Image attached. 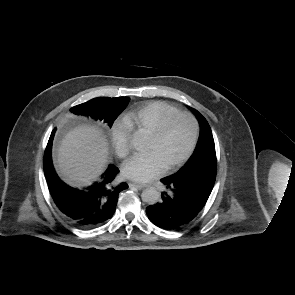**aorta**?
<instances>
[{
	"instance_id": "762f6f07",
	"label": "aorta",
	"mask_w": 295,
	"mask_h": 295,
	"mask_svg": "<svg viewBox=\"0 0 295 295\" xmlns=\"http://www.w3.org/2000/svg\"><path fill=\"white\" fill-rule=\"evenodd\" d=\"M133 145L138 148L141 146V139L136 136L132 140ZM142 201L145 202L147 205H154L158 202L160 198V193L155 188H146L142 191L141 194Z\"/></svg>"
}]
</instances>
